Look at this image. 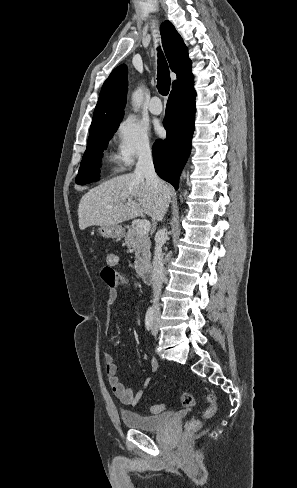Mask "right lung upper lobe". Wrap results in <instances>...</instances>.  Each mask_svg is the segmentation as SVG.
Returning <instances> with one entry per match:
<instances>
[{
	"instance_id": "right-lung-upper-lobe-1",
	"label": "right lung upper lobe",
	"mask_w": 297,
	"mask_h": 488,
	"mask_svg": "<svg viewBox=\"0 0 297 488\" xmlns=\"http://www.w3.org/2000/svg\"><path fill=\"white\" fill-rule=\"evenodd\" d=\"M160 31L170 68L177 74L173 86L193 78L187 47L172 23L164 22ZM127 90V66L122 64L113 70L104 82L94 110L90 132L101 126H119L123 117Z\"/></svg>"
}]
</instances>
